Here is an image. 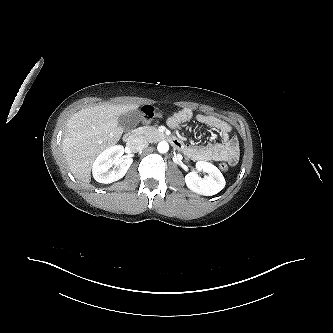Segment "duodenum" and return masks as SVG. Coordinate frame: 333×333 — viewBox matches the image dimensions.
Listing matches in <instances>:
<instances>
[{
    "label": "duodenum",
    "instance_id": "410a0bca",
    "mask_svg": "<svg viewBox=\"0 0 333 333\" xmlns=\"http://www.w3.org/2000/svg\"><path fill=\"white\" fill-rule=\"evenodd\" d=\"M163 139L169 142L176 149L183 148V143L181 142V140L173 135L164 134ZM124 140L128 148L134 149L136 148L138 143V134L135 131L128 132L125 134Z\"/></svg>",
    "mask_w": 333,
    "mask_h": 333
}]
</instances>
